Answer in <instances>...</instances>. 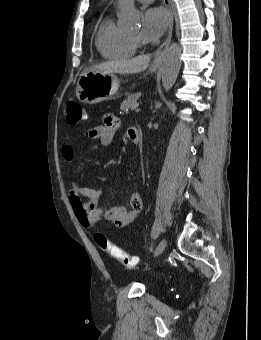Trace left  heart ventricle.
I'll use <instances>...</instances> for the list:
<instances>
[{
	"mask_svg": "<svg viewBox=\"0 0 261 340\" xmlns=\"http://www.w3.org/2000/svg\"><path fill=\"white\" fill-rule=\"evenodd\" d=\"M130 35H132V36H134V37H139V36H140V33H139L138 30H136V31L131 32Z\"/></svg>",
	"mask_w": 261,
	"mask_h": 340,
	"instance_id": "1",
	"label": "left heart ventricle"
}]
</instances>
